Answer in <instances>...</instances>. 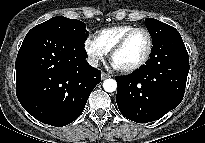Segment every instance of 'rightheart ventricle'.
Segmentation results:
<instances>
[{
  "label": "right heart ventricle",
  "mask_w": 205,
  "mask_h": 143,
  "mask_svg": "<svg viewBox=\"0 0 205 143\" xmlns=\"http://www.w3.org/2000/svg\"><path fill=\"white\" fill-rule=\"evenodd\" d=\"M133 28L134 26L132 25H119L106 28L97 32L96 40L100 44V46L108 53L121 39V37Z\"/></svg>",
  "instance_id": "1"
}]
</instances>
